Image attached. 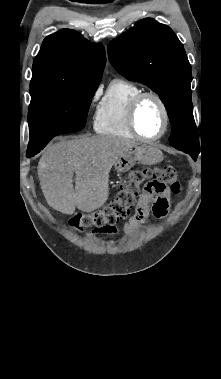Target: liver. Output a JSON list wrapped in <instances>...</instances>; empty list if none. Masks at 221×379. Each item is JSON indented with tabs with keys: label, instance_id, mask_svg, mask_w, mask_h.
Here are the masks:
<instances>
[{
	"label": "liver",
	"instance_id": "obj_1",
	"mask_svg": "<svg viewBox=\"0 0 221 379\" xmlns=\"http://www.w3.org/2000/svg\"><path fill=\"white\" fill-rule=\"evenodd\" d=\"M136 142L92 136L49 144L39 164L38 176L44 197L53 209L72 215L101 208L109 196V172ZM75 173V189L73 174Z\"/></svg>",
	"mask_w": 221,
	"mask_h": 379
}]
</instances>
